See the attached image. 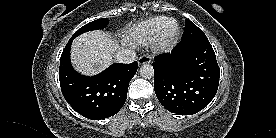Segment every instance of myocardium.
I'll list each match as a JSON object with an SVG mask.
<instances>
[{
    "label": "myocardium",
    "mask_w": 276,
    "mask_h": 138,
    "mask_svg": "<svg viewBox=\"0 0 276 138\" xmlns=\"http://www.w3.org/2000/svg\"><path fill=\"white\" fill-rule=\"evenodd\" d=\"M171 23H175L176 27L174 31L169 32L168 26ZM181 33V28L179 22L174 18H168L161 26L156 38H155V48L158 51L166 52L169 51L177 42Z\"/></svg>",
    "instance_id": "obj_1"
}]
</instances>
